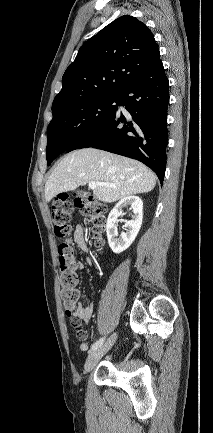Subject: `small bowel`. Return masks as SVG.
<instances>
[{"mask_svg":"<svg viewBox=\"0 0 213 433\" xmlns=\"http://www.w3.org/2000/svg\"><path fill=\"white\" fill-rule=\"evenodd\" d=\"M73 241L77 245V247L86 253H90L91 250L88 246L87 237L85 234V230L81 225H77L73 231ZM93 258L87 257L85 260V264L92 265ZM74 269H82L83 263L79 261L78 259H74L73 261ZM94 306L93 304H88L86 306H78L75 311L73 312V316L75 319L80 320L84 323H89L91 320L92 314H93ZM86 337V331L83 329V335L81 338ZM88 349V345L86 343L80 344V350L86 351Z\"/></svg>","mask_w":213,"mask_h":433,"instance_id":"small-bowel-1","label":"small bowel"}]
</instances>
